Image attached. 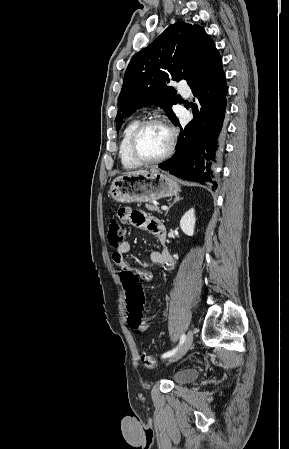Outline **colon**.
Listing matches in <instances>:
<instances>
[{"label":"colon","instance_id":"obj_1","mask_svg":"<svg viewBox=\"0 0 289 449\" xmlns=\"http://www.w3.org/2000/svg\"><path fill=\"white\" fill-rule=\"evenodd\" d=\"M107 236L109 244L117 248L125 240L126 229L117 219L112 218L108 224ZM118 279L121 285H124L127 293L129 324L134 329H140L143 318L144 295L139 280L134 271H129L126 268L118 272ZM140 358L145 367L153 368L156 366V360L151 354L142 352Z\"/></svg>","mask_w":289,"mask_h":449}]
</instances>
